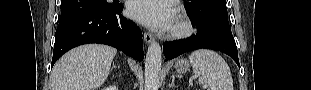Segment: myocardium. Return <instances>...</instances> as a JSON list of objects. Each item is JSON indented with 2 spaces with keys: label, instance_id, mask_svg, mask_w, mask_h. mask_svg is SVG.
<instances>
[{
  "label": "myocardium",
  "instance_id": "myocardium-1",
  "mask_svg": "<svg viewBox=\"0 0 311 90\" xmlns=\"http://www.w3.org/2000/svg\"><path fill=\"white\" fill-rule=\"evenodd\" d=\"M194 32V26L189 17L183 12H177L174 18V24L168 30V36L171 38H185Z\"/></svg>",
  "mask_w": 311,
  "mask_h": 90
}]
</instances>
